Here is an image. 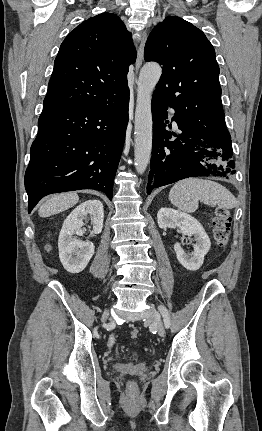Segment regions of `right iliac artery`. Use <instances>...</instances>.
Returning a JSON list of instances; mask_svg holds the SVG:
<instances>
[{"label":"right iliac artery","instance_id":"1","mask_svg":"<svg viewBox=\"0 0 262 431\" xmlns=\"http://www.w3.org/2000/svg\"><path fill=\"white\" fill-rule=\"evenodd\" d=\"M114 341V340H113ZM113 341H110V343L109 344H112L113 343Z\"/></svg>","mask_w":262,"mask_h":431}]
</instances>
